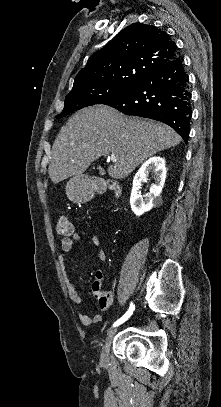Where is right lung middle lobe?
<instances>
[{
	"label": "right lung middle lobe",
	"mask_w": 221,
	"mask_h": 407,
	"mask_svg": "<svg viewBox=\"0 0 221 407\" xmlns=\"http://www.w3.org/2000/svg\"><path fill=\"white\" fill-rule=\"evenodd\" d=\"M134 86L135 85L132 84H98L71 91L66 96L64 109L62 110V113L57 116V118L64 117L71 112L87 106L104 104L107 101L124 95Z\"/></svg>",
	"instance_id": "dd1d6c3e"
}]
</instances>
